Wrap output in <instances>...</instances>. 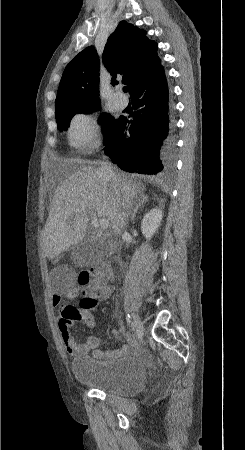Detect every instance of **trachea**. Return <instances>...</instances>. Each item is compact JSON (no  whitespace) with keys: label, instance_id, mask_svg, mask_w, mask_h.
<instances>
[{"label":"trachea","instance_id":"obj_1","mask_svg":"<svg viewBox=\"0 0 245 450\" xmlns=\"http://www.w3.org/2000/svg\"><path fill=\"white\" fill-rule=\"evenodd\" d=\"M123 91H124V92H128V87H127V86H124V87H123Z\"/></svg>","mask_w":245,"mask_h":450}]
</instances>
